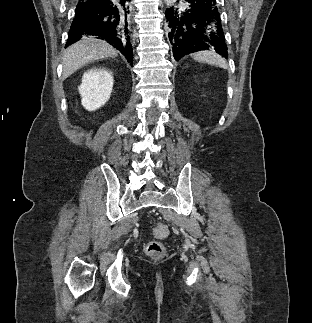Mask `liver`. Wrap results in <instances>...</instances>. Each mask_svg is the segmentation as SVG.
Returning <instances> with one entry per match:
<instances>
[{
	"mask_svg": "<svg viewBox=\"0 0 312 323\" xmlns=\"http://www.w3.org/2000/svg\"><path fill=\"white\" fill-rule=\"evenodd\" d=\"M118 54L119 52L115 48H112L104 40H97L96 36L82 38L73 46H69L62 58L63 80L77 72L85 64L102 60V58H113Z\"/></svg>",
	"mask_w": 312,
	"mask_h": 323,
	"instance_id": "1",
	"label": "liver"
}]
</instances>
